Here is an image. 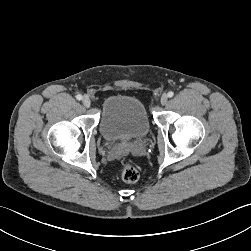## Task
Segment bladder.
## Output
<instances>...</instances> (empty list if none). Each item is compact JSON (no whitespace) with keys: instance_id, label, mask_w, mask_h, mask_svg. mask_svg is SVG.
I'll return each instance as SVG.
<instances>
[{"instance_id":"bladder-1","label":"bladder","mask_w":251,"mask_h":251,"mask_svg":"<svg viewBox=\"0 0 251 251\" xmlns=\"http://www.w3.org/2000/svg\"><path fill=\"white\" fill-rule=\"evenodd\" d=\"M100 131L110 143L144 138L150 131V122L144 104L130 95H112L102 105Z\"/></svg>"}]
</instances>
